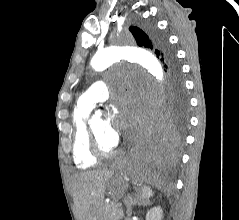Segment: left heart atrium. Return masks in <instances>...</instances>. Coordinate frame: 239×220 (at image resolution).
I'll use <instances>...</instances> for the list:
<instances>
[{"mask_svg": "<svg viewBox=\"0 0 239 220\" xmlns=\"http://www.w3.org/2000/svg\"><path fill=\"white\" fill-rule=\"evenodd\" d=\"M133 105L125 100L118 110L114 111L106 120L105 135L108 139L117 143L120 139V131H128L134 125L133 118L129 116Z\"/></svg>", "mask_w": 239, "mask_h": 220, "instance_id": "1", "label": "left heart atrium"}]
</instances>
